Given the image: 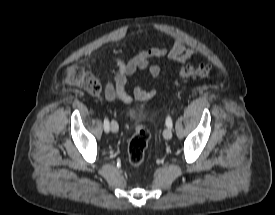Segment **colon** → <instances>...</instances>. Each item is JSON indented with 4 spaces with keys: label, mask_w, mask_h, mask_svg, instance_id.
Masks as SVG:
<instances>
[{
    "label": "colon",
    "mask_w": 275,
    "mask_h": 215,
    "mask_svg": "<svg viewBox=\"0 0 275 215\" xmlns=\"http://www.w3.org/2000/svg\"><path fill=\"white\" fill-rule=\"evenodd\" d=\"M212 72V67L207 64H198L186 68L182 74L183 79L207 78ZM67 82L79 87L91 95L99 94L101 86L96 77L85 67L75 66L68 71ZM140 115V113H139ZM150 134L143 125H137L135 133L128 146V161L132 166H139L145 157V151Z\"/></svg>",
    "instance_id": "1"
}]
</instances>
